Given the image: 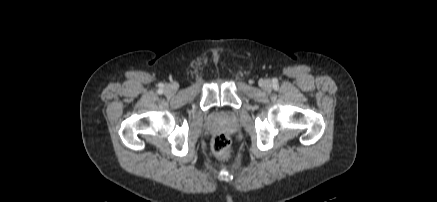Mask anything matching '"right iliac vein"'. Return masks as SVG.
<instances>
[{"label": "right iliac vein", "instance_id": "obj_1", "mask_svg": "<svg viewBox=\"0 0 437 202\" xmlns=\"http://www.w3.org/2000/svg\"><path fill=\"white\" fill-rule=\"evenodd\" d=\"M176 91H177V87H176L175 85H168V86H166V88H165V92H166L168 95H172V94H174Z\"/></svg>", "mask_w": 437, "mask_h": 202}]
</instances>
